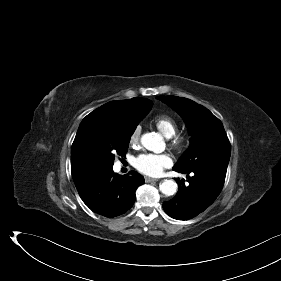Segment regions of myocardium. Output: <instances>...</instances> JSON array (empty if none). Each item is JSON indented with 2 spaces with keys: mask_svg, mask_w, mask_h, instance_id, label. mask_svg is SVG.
Returning a JSON list of instances; mask_svg holds the SVG:
<instances>
[{
  "mask_svg": "<svg viewBox=\"0 0 281 281\" xmlns=\"http://www.w3.org/2000/svg\"><path fill=\"white\" fill-rule=\"evenodd\" d=\"M172 147L177 151H182L187 145V139L183 136H174L172 140Z\"/></svg>",
  "mask_w": 281,
  "mask_h": 281,
  "instance_id": "1",
  "label": "myocardium"
}]
</instances>
